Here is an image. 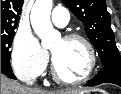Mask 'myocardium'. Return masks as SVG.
I'll list each match as a JSON object with an SVG mask.
<instances>
[{
    "instance_id": "myocardium-1",
    "label": "myocardium",
    "mask_w": 121,
    "mask_h": 94,
    "mask_svg": "<svg viewBox=\"0 0 121 94\" xmlns=\"http://www.w3.org/2000/svg\"><path fill=\"white\" fill-rule=\"evenodd\" d=\"M63 40H65V41L75 40V41H80L84 44V46L86 47L87 53H88V67H87L85 74L82 77H80L78 79L68 80V79L63 78L59 74L55 59H54V57H52L51 73H52L53 79L57 83L66 85V86H73V85L85 83L86 81H88L90 79V77L94 73V70H95L96 64H97V57H96V53H95L93 45L85 36L77 34V33L66 34V35H64Z\"/></svg>"
}]
</instances>
